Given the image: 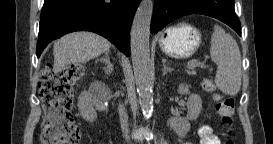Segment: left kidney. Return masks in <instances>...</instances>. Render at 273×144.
<instances>
[{"label":"left kidney","instance_id":"5707ae66","mask_svg":"<svg viewBox=\"0 0 273 144\" xmlns=\"http://www.w3.org/2000/svg\"><path fill=\"white\" fill-rule=\"evenodd\" d=\"M178 93L182 95H189L187 102V117H173L170 119V126L179 137H185L190 130L191 120H196L202 109V100L198 94H190L187 85L180 84Z\"/></svg>","mask_w":273,"mask_h":144}]
</instances>
